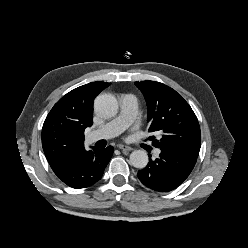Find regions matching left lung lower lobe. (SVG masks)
<instances>
[{"label":"left lung lower lobe","instance_id":"1","mask_svg":"<svg viewBox=\"0 0 248 248\" xmlns=\"http://www.w3.org/2000/svg\"><path fill=\"white\" fill-rule=\"evenodd\" d=\"M197 157L161 149L158 159L149 156L148 165L138 171L139 180L148 188L158 192H169L177 188L189 176Z\"/></svg>","mask_w":248,"mask_h":248}]
</instances>
